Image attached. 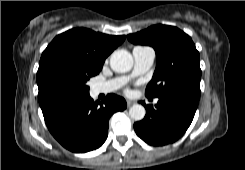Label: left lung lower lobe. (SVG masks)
<instances>
[{
	"label": "left lung lower lobe",
	"instance_id": "left-lung-lower-lobe-1",
	"mask_svg": "<svg viewBox=\"0 0 245 170\" xmlns=\"http://www.w3.org/2000/svg\"><path fill=\"white\" fill-rule=\"evenodd\" d=\"M158 98L155 107L141 102L146 108V116L134 124L136 134L154 146L177 141L190 126L199 102V99L176 93Z\"/></svg>",
	"mask_w": 245,
	"mask_h": 170
}]
</instances>
